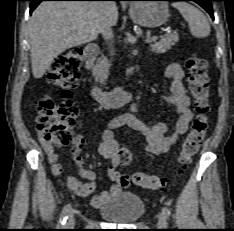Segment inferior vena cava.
<instances>
[{
  "instance_id": "obj_1",
  "label": "inferior vena cava",
  "mask_w": 234,
  "mask_h": 231,
  "mask_svg": "<svg viewBox=\"0 0 234 231\" xmlns=\"http://www.w3.org/2000/svg\"><path fill=\"white\" fill-rule=\"evenodd\" d=\"M108 3V2H106ZM99 29L101 34L103 35V38L106 41H112L114 38V33L112 30V26L110 25V23L108 22V20L103 17L99 20ZM111 55H114V48L112 47L111 51H110Z\"/></svg>"
}]
</instances>
